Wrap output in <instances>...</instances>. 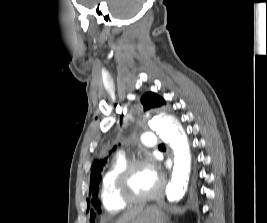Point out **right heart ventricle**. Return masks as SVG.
<instances>
[{"instance_id":"obj_1","label":"right heart ventricle","mask_w":267,"mask_h":223,"mask_svg":"<svg viewBox=\"0 0 267 223\" xmlns=\"http://www.w3.org/2000/svg\"><path fill=\"white\" fill-rule=\"evenodd\" d=\"M126 164L124 157L115 158L102 177L100 198L104 209L109 212L120 211L126 205L118 198L114 188L115 179Z\"/></svg>"}]
</instances>
